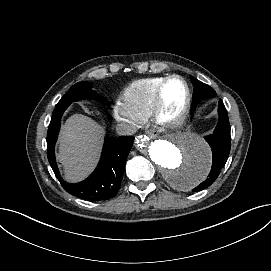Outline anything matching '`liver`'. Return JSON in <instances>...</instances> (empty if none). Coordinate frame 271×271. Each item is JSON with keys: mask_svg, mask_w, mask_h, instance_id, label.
<instances>
[{"mask_svg": "<svg viewBox=\"0 0 271 271\" xmlns=\"http://www.w3.org/2000/svg\"><path fill=\"white\" fill-rule=\"evenodd\" d=\"M104 134L101 125L82 114H74L66 120L60 133L57 158L68 182L81 181L94 169Z\"/></svg>", "mask_w": 271, "mask_h": 271, "instance_id": "obj_1", "label": "liver"}]
</instances>
